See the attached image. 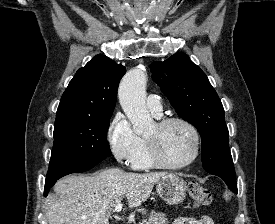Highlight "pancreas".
Wrapping results in <instances>:
<instances>
[{
    "label": "pancreas",
    "instance_id": "pancreas-1",
    "mask_svg": "<svg viewBox=\"0 0 275 224\" xmlns=\"http://www.w3.org/2000/svg\"><path fill=\"white\" fill-rule=\"evenodd\" d=\"M141 224H168V219L164 213L152 211L148 219H144Z\"/></svg>",
    "mask_w": 275,
    "mask_h": 224
}]
</instances>
